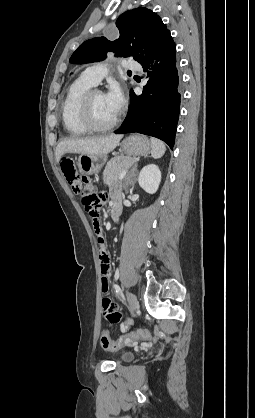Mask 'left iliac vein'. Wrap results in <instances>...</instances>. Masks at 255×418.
Returning <instances> with one entry per match:
<instances>
[{
  "label": "left iliac vein",
  "instance_id": "obj_1",
  "mask_svg": "<svg viewBox=\"0 0 255 418\" xmlns=\"http://www.w3.org/2000/svg\"><path fill=\"white\" fill-rule=\"evenodd\" d=\"M126 295H127V299L130 305L131 312L134 313L138 309L137 297L131 292H126Z\"/></svg>",
  "mask_w": 255,
  "mask_h": 418
}]
</instances>
